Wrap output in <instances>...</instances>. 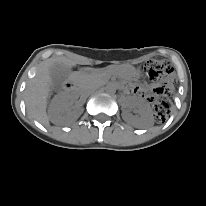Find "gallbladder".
I'll use <instances>...</instances> for the list:
<instances>
[{
    "label": "gallbladder",
    "instance_id": "obj_1",
    "mask_svg": "<svg viewBox=\"0 0 206 206\" xmlns=\"http://www.w3.org/2000/svg\"><path fill=\"white\" fill-rule=\"evenodd\" d=\"M72 69L70 66L55 63L50 68V76L54 88H59L70 76Z\"/></svg>",
    "mask_w": 206,
    "mask_h": 206
}]
</instances>
